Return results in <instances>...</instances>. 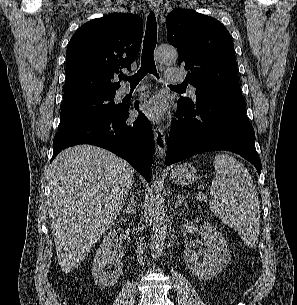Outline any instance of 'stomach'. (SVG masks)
<instances>
[{
	"label": "stomach",
	"mask_w": 297,
	"mask_h": 305,
	"mask_svg": "<svg viewBox=\"0 0 297 305\" xmlns=\"http://www.w3.org/2000/svg\"><path fill=\"white\" fill-rule=\"evenodd\" d=\"M196 169L189 163L176 165L170 173V180L178 185H189L196 180Z\"/></svg>",
	"instance_id": "0dacf381"
}]
</instances>
